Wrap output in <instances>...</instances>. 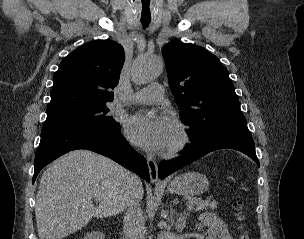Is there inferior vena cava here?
<instances>
[{
    "mask_svg": "<svg viewBox=\"0 0 304 239\" xmlns=\"http://www.w3.org/2000/svg\"><path fill=\"white\" fill-rule=\"evenodd\" d=\"M139 184V178L135 174L128 172L125 194L122 200V206L125 209L124 231L127 239H143V212L136 193Z\"/></svg>",
    "mask_w": 304,
    "mask_h": 239,
    "instance_id": "obj_1",
    "label": "inferior vena cava"
}]
</instances>
